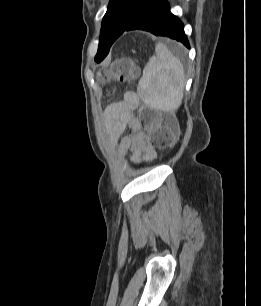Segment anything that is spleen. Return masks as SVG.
I'll return each instance as SVG.
<instances>
[{
	"instance_id": "1",
	"label": "spleen",
	"mask_w": 261,
	"mask_h": 306,
	"mask_svg": "<svg viewBox=\"0 0 261 306\" xmlns=\"http://www.w3.org/2000/svg\"><path fill=\"white\" fill-rule=\"evenodd\" d=\"M155 52L143 69L137 93L149 107L174 112L182 104L184 68L164 44L158 43Z\"/></svg>"
}]
</instances>
